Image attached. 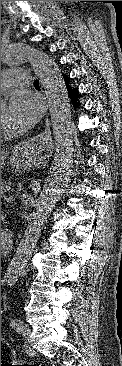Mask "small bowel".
I'll return each instance as SVG.
<instances>
[{
    "instance_id": "c3829d8e",
    "label": "small bowel",
    "mask_w": 122,
    "mask_h": 366,
    "mask_svg": "<svg viewBox=\"0 0 122 366\" xmlns=\"http://www.w3.org/2000/svg\"><path fill=\"white\" fill-rule=\"evenodd\" d=\"M18 275H19V271L15 267H9L5 273L4 279L1 280V283H4V282L9 283L11 280L16 278ZM10 351H11V348H10Z\"/></svg>"
}]
</instances>
